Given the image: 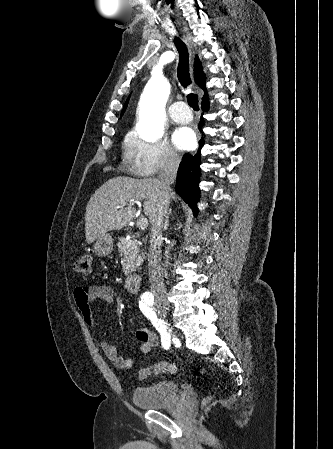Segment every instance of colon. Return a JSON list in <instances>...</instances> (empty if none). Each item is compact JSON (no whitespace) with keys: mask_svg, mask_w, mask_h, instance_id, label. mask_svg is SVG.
<instances>
[{"mask_svg":"<svg viewBox=\"0 0 333 449\" xmlns=\"http://www.w3.org/2000/svg\"><path fill=\"white\" fill-rule=\"evenodd\" d=\"M91 266V257L88 254H83L79 257L75 264L74 269L77 273L88 274ZM177 371V367L170 362H160L151 367H144L138 371V377L140 379H145L151 374H160V373H169L174 374ZM202 374H206L207 371L205 369L201 370Z\"/></svg>","mask_w":333,"mask_h":449,"instance_id":"5ec220e1","label":"colon"}]
</instances>
